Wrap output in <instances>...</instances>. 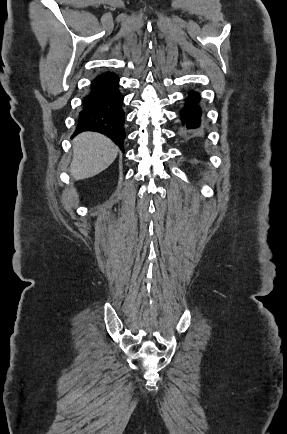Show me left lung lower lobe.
<instances>
[{
    "label": "left lung lower lobe",
    "instance_id": "1",
    "mask_svg": "<svg viewBox=\"0 0 287 434\" xmlns=\"http://www.w3.org/2000/svg\"><path fill=\"white\" fill-rule=\"evenodd\" d=\"M199 100V95L191 92L186 98L184 108L180 112L183 138L189 141H195L201 135L202 111L198 104Z\"/></svg>",
    "mask_w": 287,
    "mask_h": 434
}]
</instances>
